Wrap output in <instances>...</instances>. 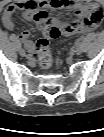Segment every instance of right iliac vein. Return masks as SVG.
Returning a JSON list of instances; mask_svg holds the SVG:
<instances>
[{
	"instance_id": "63e3f726",
	"label": "right iliac vein",
	"mask_w": 104,
	"mask_h": 137,
	"mask_svg": "<svg viewBox=\"0 0 104 137\" xmlns=\"http://www.w3.org/2000/svg\"><path fill=\"white\" fill-rule=\"evenodd\" d=\"M19 54H20L21 56L30 57L29 55H26V52H25L23 49H20V50H19Z\"/></svg>"
}]
</instances>
